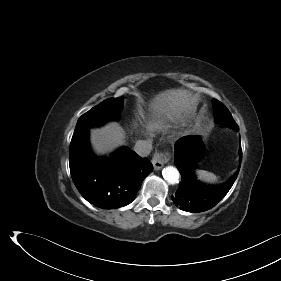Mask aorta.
Segmentation results:
<instances>
[{
  "mask_svg": "<svg viewBox=\"0 0 281 281\" xmlns=\"http://www.w3.org/2000/svg\"><path fill=\"white\" fill-rule=\"evenodd\" d=\"M162 175L169 184H176L179 182L180 173L176 167L167 166L163 169Z\"/></svg>",
  "mask_w": 281,
  "mask_h": 281,
  "instance_id": "762f6f07",
  "label": "aorta"
}]
</instances>
